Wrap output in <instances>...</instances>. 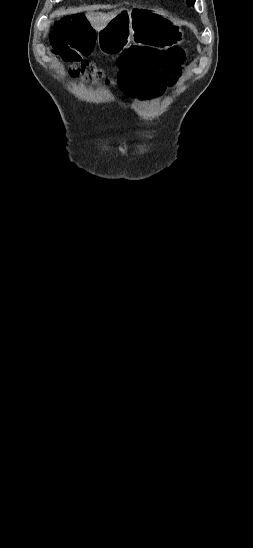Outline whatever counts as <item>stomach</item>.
I'll list each match as a JSON object with an SVG mask.
<instances>
[{"instance_id":"1","label":"stomach","mask_w":253,"mask_h":548,"mask_svg":"<svg viewBox=\"0 0 253 548\" xmlns=\"http://www.w3.org/2000/svg\"><path fill=\"white\" fill-rule=\"evenodd\" d=\"M178 25L146 10L121 11L97 33L99 49L117 55L131 43L138 45H175L181 39Z\"/></svg>"}]
</instances>
